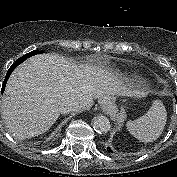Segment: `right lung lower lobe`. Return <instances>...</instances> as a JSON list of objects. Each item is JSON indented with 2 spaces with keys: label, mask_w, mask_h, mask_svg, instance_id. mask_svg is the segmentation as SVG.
Instances as JSON below:
<instances>
[{
  "label": "right lung lower lobe",
  "mask_w": 177,
  "mask_h": 177,
  "mask_svg": "<svg viewBox=\"0 0 177 177\" xmlns=\"http://www.w3.org/2000/svg\"><path fill=\"white\" fill-rule=\"evenodd\" d=\"M40 52L35 50V51H32L30 53H27L26 55L18 58L12 65L11 67L9 68L7 74H6V77H5V80L2 84V92H4V89H5V85H6V82L10 76V74L12 73V71L16 68V66H18L20 63H22L23 61H25L27 58L33 56V55H36V54H39Z\"/></svg>",
  "instance_id": "1"
}]
</instances>
